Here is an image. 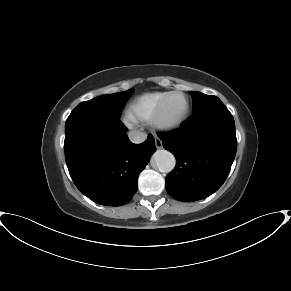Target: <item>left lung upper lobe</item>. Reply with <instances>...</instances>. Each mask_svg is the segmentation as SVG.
<instances>
[{
    "label": "left lung upper lobe",
    "mask_w": 291,
    "mask_h": 291,
    "mask_svg": "<svg viewBox=\"0 0 291 291\" xmlns=\"http://www.w3.org/2000/svg\"><path fill=\"white\" fill-rule=\"evenodd\" d=\"M190 94L193 98V115L200 114L216 105L223 104L216 96L206 95L195 91H191Z\"/></svg>",
    "instance_id": "left-lung-upper-lobe-1"
}]
</instances>
